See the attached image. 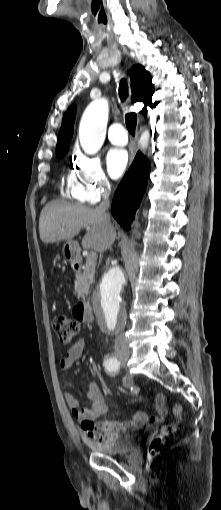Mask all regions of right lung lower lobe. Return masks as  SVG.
Wrapping results in <instances>:
<instances>
[{
  "label": "right lung lower lobe",
  "mask_w": 221,
  "mask_h": 510,
  "mask_svg": "<svg viewBox=\"0 0 221 510\" xmlns=\"http://www.w3.org/2000/svg\"><path fill=\"white\" fill-rule=\"evenodd\" d=\"M151 170L149 161L140 152L137 153L129 172L119 184L111 206L114 218L126 230L134 219Z\"/></svg>",
  "instance_id": "1"
}]
</instances>
